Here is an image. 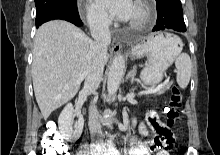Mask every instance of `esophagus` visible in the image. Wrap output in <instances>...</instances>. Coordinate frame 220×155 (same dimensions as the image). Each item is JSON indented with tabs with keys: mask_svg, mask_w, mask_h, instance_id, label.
<instances>
[{
	"mask_svg": "<svg viewBox=\"0 0 220 155\" xmlns=\"http://www.w3.org/2000/svg\"><path fill=\"white\" fill-rule=\"evenodd\" d=\"M112 50L114 52H119L122 50V45L120 43H115V44H113Z\"/></svg>",
	"mask_w": 220,
	"mask_h": 155,
	"instance_id": "34e87169",
	"label": "esophagus"
}]
</instances>
